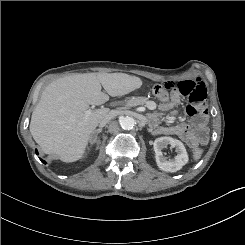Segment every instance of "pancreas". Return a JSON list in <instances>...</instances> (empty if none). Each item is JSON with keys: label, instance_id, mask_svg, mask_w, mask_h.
<instances>
[{"label": "pancreas", "instance_id": "1", "mask_svg": "<svg viewBox=\"0 0 245 245\" xmlns=\"http://www.w3.org/2000/svg\"><path fill=\"white\" fill-rule=\"evenodd\" d=\"M147 102L146 97H132L131 99L125 100L121 103L125 108H130L137 105H143Z\"/></svg>", "mask_w": 245, "mask_h": 245}]
</instances>
